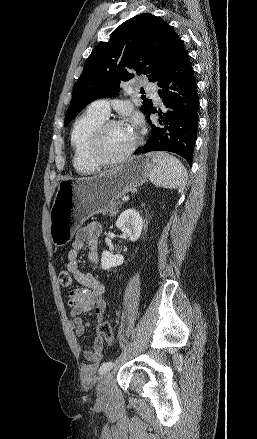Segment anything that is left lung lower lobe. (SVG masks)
I'll list each match as a JSON object with an SVG mask.
<instances>
[{
  "mask_svg": "<svg viewBox=\"0 0 257 439\" xmlns=\"http://www.w3.org/2000/svg\"><path fill=\"white\" fill-rule=\"evenodd\" d=\"M159 96L165 105L159 110V120L151 125V133L144 147L135 154L169 151L185 158L191 166L198 128L197 84L194 71L180 38L176 41L171 59L157 80ZM156 110L151 107L147 113Z\"/></svg>",
  "mask_w": 257,
  "mask_h": 439,
  "instance_id": "0a47b994",
  "label": "left lung lower lobe"
}]
</instances>
